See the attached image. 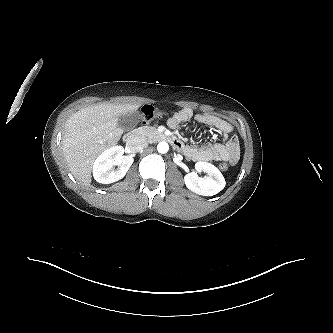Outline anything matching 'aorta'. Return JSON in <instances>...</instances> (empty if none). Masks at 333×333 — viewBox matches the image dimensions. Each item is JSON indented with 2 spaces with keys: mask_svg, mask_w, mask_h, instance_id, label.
Returning <instances> with one entry per match:
<instances>
[{
  "mask_svg": "<svg viewBox=\"0 0 333 333\" xmlns=\"http://www.w3.org/2000/svg\"><path fill=\"white\" fill-rule=\"evenodd\" d=\"M169 150V145L167 142H159L158 145H157V151L161 154H165L167 153Z\"/></svg>",
  "mask_w": 333,
  "mask_h": 333,
  "instance_id": "1",
  "label": "aorta"
}]
</instances>
